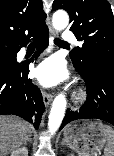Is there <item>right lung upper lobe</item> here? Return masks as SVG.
Masks as SVG:
<instances>
[{"label": "right lung upper lobe", "mask_w": 114, "mask_h": 156, "mask_svg": "<svg viewBox=\"0 0 114 156\" xmlns=\"http://www.w3.org/2000/svg\"><path fill=\"white\" fill-rule=\"evenodd\" d=\"M41 0H0V46L30 37L46 26Z\"/></svg>", "instance_id": "1"}]
</instances>
